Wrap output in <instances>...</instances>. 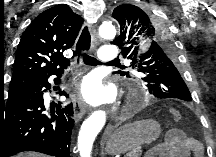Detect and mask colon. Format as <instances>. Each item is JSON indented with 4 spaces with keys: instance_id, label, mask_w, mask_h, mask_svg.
<instances>
[{
    "instance_id": "1",
    "label": "colon",
    "mask_w": 216,
    "mask_h": 157,
    "mask_svg": "<svg viewBox=\"0 0 216 157\" xmlns=\"http://www.w3.org/2000/svg\"><path fill=\"white\" fill-rule=\"evenodd\" d=\"M171 115H172V118L175 122H180L181 119H182V114L179 110L177 109H172L171 110Z\"/></svg>"
}]
</instances>
